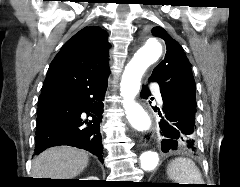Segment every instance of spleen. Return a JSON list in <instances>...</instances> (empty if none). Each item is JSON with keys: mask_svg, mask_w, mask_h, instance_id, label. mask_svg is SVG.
<instances>
[{"mask_svg": "<svg viewBox=\"0 0 240 187\" xmlns=\"http://www.w3.org/2000/svg\"><path fill=\"white\" fill-rule=\"evenodd\" d=\"M167 173L172 180L180 184H203L201 173L195 163L188 158H176L169 166Z\"/></svg>", "mask_w": 240, "mask_h": 187, "instance_id": "3e777b00", "label": "spleen"}]
</instances>
